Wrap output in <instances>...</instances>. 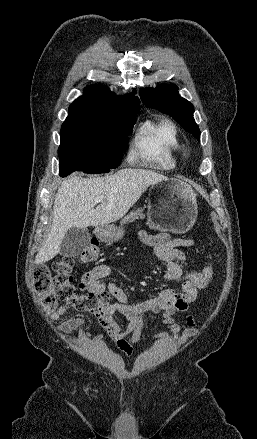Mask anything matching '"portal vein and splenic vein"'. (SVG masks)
Listing matches in <instances>:
<instances>
[{
  "label": "portal vein and splenic vein",
  "mask_w": 257,
  "mask_h": 439,
  "mask_svg": "<svg viewBox=\"0 0 257 439\" xmlns=\"http://www.w3.org/2000/svg\"><path fill=\"white\" fill-rule=\"evenodd\" d=\"M100 202H103V197L102 196H99V197H97L95 199V203H100Z\"/></svg>",
  "instance_id": "1"
}]
</instances>
